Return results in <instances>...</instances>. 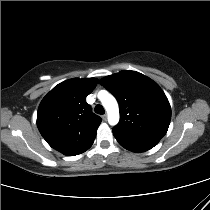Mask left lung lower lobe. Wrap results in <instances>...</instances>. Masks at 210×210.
Listing matches in <instances>:
<instances>
[{"label":"left lung lower lobe","mask_w":210,"mask_h":210,"mask_svg":"<svg viewBox=\"0 0 210 210\" xmlns=\"http://www.w3.org/2000/svg\"><path fill=\"white\" fill-rule=\"evenodd\" d=\"M124 148H125V147H124ZM126 149H128V150H130V151H133V152H143V151H135V150L129 149V148H126Z\"/></svg>","instance_id":"left-lung-lower-lobe-1"}]
</instances>
